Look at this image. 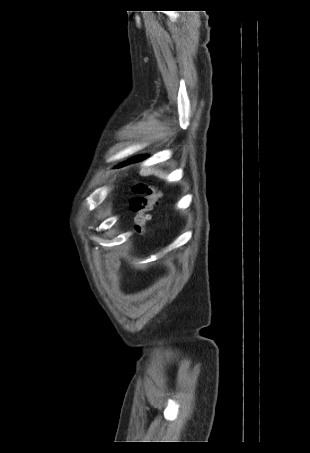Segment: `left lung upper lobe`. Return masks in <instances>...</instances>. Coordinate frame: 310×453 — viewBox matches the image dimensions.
Instances as JSON below:
<instances>
[{"instance_id": "1", "label": "left lung upper lobe", "mask_w": 310, "mask_h": 453, "mask_svg": "<svg viewBox=\"0 0 310 453\" xmlns=\"http://www.w3.org/2000/svg\"><path fill=\"white\" fill-rule=\"evenodd\" d=\"M128 163H129V161H128V162H126V163H124V164H122L121 166H124V165H126V164H128Z\"/></svg>"}]
</instances>
